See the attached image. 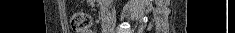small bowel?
I'll return each instance as SVG.
<instances>
[{
    "instance_id": "small-bowel-1",
    "label": "small bowel",
    "mask_w": 235,
    "mask_h": 33,
    "mask_svg": "<svg viewBox=\"0 0 235 33\" xmlns=\"http://www.w3.org/2000/svg\"><path fill=\"white\" fill-rule=\"evenodd\" d=\"M87 33H93L92 31H88Z\"/></svg>"
}]
</instances>
